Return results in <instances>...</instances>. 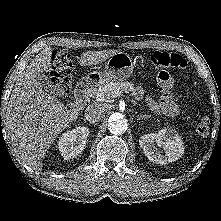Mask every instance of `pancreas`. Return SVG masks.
I'll return each mask as SVG.
<instances>
[{
  "label": "pancreas",
  "instance_id": "1",
  "mask_svg": "<svg viewBox=\"0 0 221 221\" xmlns=\"http://www.w3.org/2000/svg\"><path fill=\"white\" fill-rule=\"evenodd\" d=\"M134 89L131 82H105L92 90L91 96L97 101H110L122 92L129 93Z\"/></svg>",
  "mask_w": 221,
  "mask_h": 221
}]
</instances>
